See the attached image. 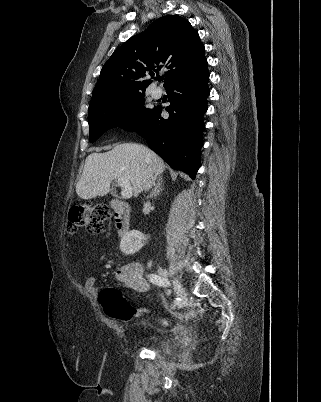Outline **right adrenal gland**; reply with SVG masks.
<instances>
[{"instance_id":"right-adrenal-gland-1","label":"right adrenal gland","mask_w":321,"mask_h":402,"mask_svg":"<svg viewBox=\"0 0 321 402\" xmlns=\"http://www.w3.org/2000/svg\"><path fill=\"white\" fill-rule=\"evenodd\" d=\"M162 183H163V178L159 177L157 184L155 185V188L152 190V192L147 196L148 198H153L156 197L157 195H159L163 188H162Z\"/></svg>"}]
</instances>
